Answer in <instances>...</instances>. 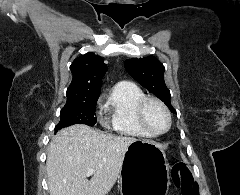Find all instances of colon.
Returning <instances> with one entry per match:
<instances>
[{"instance_id":"obj_1","label":"colon","mask_w":240,"mask_h":195,"mask_svg":"<svg viewBox=\"0 0 240 195\" xmlns=\"http://www.w3.org/2000/svg\"><path fill=\"white\" fill-rule=\"evenodd\" d=\"M174 176L179 182L182 195H198V185L192 174L184 166L177 167L174 170Z\"/></svg>"}]
</instances>
